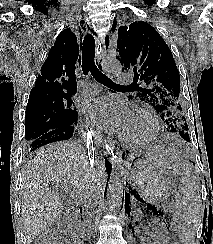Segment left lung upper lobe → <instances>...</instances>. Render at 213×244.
I'll return each mask as SVG.
<instances>
[{
	"instance_id": "1",
	"label": "left lung upper lobe",
	"mask_w": 213,
	"mask_h": 244,
	"mask_svg": "<svg viewBox=\"0 0 213 244\" xmlns=\"http://www.w3.org/2000/svg\"><path fill=\"white\" fill-rule=\"evenodd\" d=\"M116 24H113L114 28ZM116 51V58L123 66L122 71H134L131 86L133 91L139 90V93L129 98L148 101L160 114L166 130L179 134L189 142L184 100L179 93V71L160 34L143 21L121 26Z\"/></svg>"
}]
</instances>
